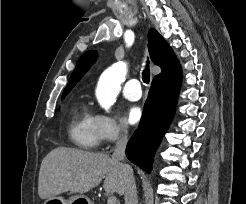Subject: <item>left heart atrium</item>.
<instances>
[{
    "label": "left heart atrium",
    "instance_id": "left-heart-atrium-1",
    "mask_svg": "<svg viewBox=\"0 0 246 204\" xmlns=\"http://www.w3.org/2000/svg\"><path fill=\"white\" fill-rule=\"evenodd\" d=\"M142 118V110L138 106H131L126 112V121L131 124H137Z\"/></svg>",
    "mask_w": 246,
    "mask_h": 204
}]
</instances>
